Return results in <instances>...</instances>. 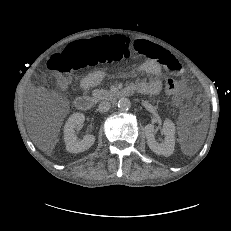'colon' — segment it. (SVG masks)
Listing matches in <instances>:
<instances>
[{"label": "colon", "instance_id": "colon-1", "mask_svg": "<svg viewBox=\"0 0 231 231\" xmlns=\"http://www.w3.org/2000/svg\"><path fill=\"white\" fill-rule=\"evenodd\" d=\"M131 50L130 40L120 35L77 42L69 45L61 54L53 56L49 61V69L55 75L57 86L67 88L72 81L73 71L88 65L127 60L131 57ZM165 88L168 93L176 94L177 80L173 77L167 78Z\"/></svg>", "mask_w": 231, "mask_h": 231}]
</instances>
